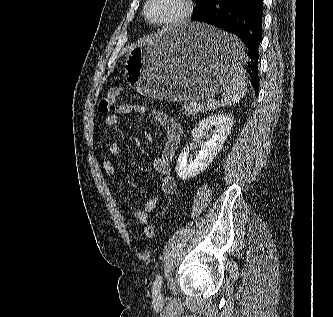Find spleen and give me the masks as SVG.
<instances>
[{"label": "spleen", "mask_w": 333, "mask_h": 317, "mask_svg": "<svg viewBox=\"0 0 333 317\" xmlns=\"http://www.w3.org/2000/svg\"><path fill=\"white\" fill-rule=\"evenodd\" d=\"M223 35L225 37L224 44L230 49V52H232L230 59L233 62V72L231 82L227 88L224 98L218 103V106H229L235 104L243 98L247 91L245 82L247 72L241 65V61L245 60L246 57L241 53V42L235 36L227 33H223Z\"/></svg>", "instance_id": "obj_1"}]
</instances>
